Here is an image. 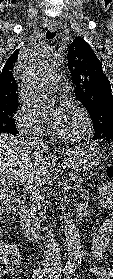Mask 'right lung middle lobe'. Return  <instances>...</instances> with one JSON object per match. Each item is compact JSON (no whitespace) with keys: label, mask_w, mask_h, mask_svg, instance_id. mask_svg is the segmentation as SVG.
<instances>
[{"label":"right lung middle lobe","mask_w":113,"mask_h":279,"mask_svg":"<svg viewBox=\"0 0 113 279\" xmlns=\"http://www.w3.org/2000/svg\"><path fill=\"white\" fill-rule=\"evenodd\" d=\"M17 105L0 109V132L10 133L13 135L17 134V129L13 116L17 110Z\"/></svg>","instance_id":"1"}]
</instances>
